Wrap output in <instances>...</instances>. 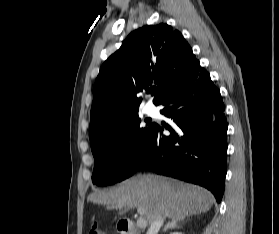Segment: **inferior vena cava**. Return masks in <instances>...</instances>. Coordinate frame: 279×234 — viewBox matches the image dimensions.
<instances>
[{"mask_svg": "<svg viewBox=\"0 0 279 234\" xmlns=\"http://www.w3.org/2000/svg\"><path fill=\"white\" fill-rule=\"evenodd\" d=\"M163 222L164 217L159 215L158 218L150 224V227L146 234H158L161 226L163 225Z\"/></svg>", "mask_w": 279, "mask_h": 234, "instance_id": "inferior-vena-cava-1", "label": "inferior vena cava"}]
</instances>
